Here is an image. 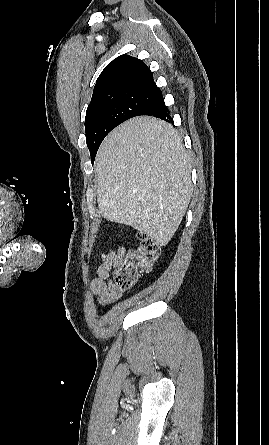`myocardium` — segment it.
Returning <instances> with one entry per match:
<instances>
[{
	"mask_svg": "<svg viewBox=\"0 0 269 445\" xmlns=\"http://www.w3.org/2000/svg\"><path fill=\"white\" fill-rule=\"evenodd\" d=\"M10 235H11V234H7V235L4 236L3 238H0V243H1L2 241H5Z\"/></svg>",
	"mask_w": 269,
	"mask_h": 445,
	"instance_id": "f54148a6",
	"label": "myocardium"
}]
</instances>
